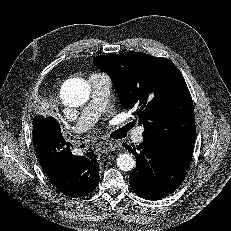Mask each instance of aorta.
I'll return each instance as SVG.
<instances>
[{
  "mask_svg": "<svg viewBox=\"0 0 231 231\" xmlns=\"http://www.w3.org/2000/svg\"><path fill=\"white\" fill-rule=\"evenodd\" d=\"M90 96V89L88 84L78 78L68 79L61 87L60 97L62 102L69 107H79L86 103ZM117 166L122 171H131L135 165L136 160L130 153H122L117 159Z\"/></svg>",
  "mask_w": 231,
  "mask_h": 231,
  "instance_id": "obj_1",
  "label": "aorta"
}]
</instances>
